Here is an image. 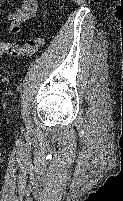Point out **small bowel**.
Masks as SVG:
<instances>
[{
	"label": "small bowel",
	"mask_w": 123,
	"mask_h": 201,
	"mask_svg": "<svg viewBox=\"0 0 123 201\" xmlns=\"http://www.w3.org/2000/svg\"><path fill=\"white\" fill-rule=\"evenodd\" d=\"M36 0H20L19 8L10 13L7 17L8 31L11 34H17L21 30V25L26 20L33 18L36 14Z\"/></svg>",
	"instance_id": "small-bowel-1"
}]
</instances>
